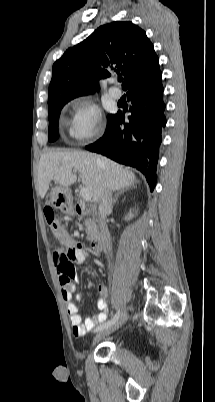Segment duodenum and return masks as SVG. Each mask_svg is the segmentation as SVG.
Masks as SVG:
<instances>
[{
	"label": "duodenum",
	"instance_id": "duodenum-1",
	"mask_svg": "<svg viewBox=\"0 0 215 402\" xmlns=\"http://www.w3.org/2000/svg\"><path fill=\"white\" fill-rule=\"evenodd\" d=\"M81 210H82V207H81L80 204H78V205L76 206V211H77V212H81ZM105 244H106L105 238H104L103 236H100V235H99V236H96V237L94 238V240H93V242H92V247H93V249H94L95 251L100 252V251L104 250Z\"/></svg>",
	"mask_w": 215,
	"mask_h": 402
}]
</instances>
